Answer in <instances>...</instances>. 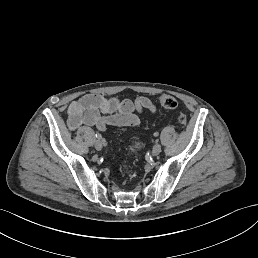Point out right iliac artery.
Returning <instances> with one entry per match:
<instances>
[{"label": "right iliac artery", "instance_id": "right-iliac-artery-1", "mask_svg": "<svg viewBox=\"0 0 258 258\" xmlns=\"http://www.w3.org/2000/svg\"><path fill=\"white\" fill-rule=\"evenodd\" d=\"M95 136H96V138H98V139H101V138H102V136H101L99 133H96Z\"/></svg>", "mask_w": 258, "mask_h": 258}]
</instances>
